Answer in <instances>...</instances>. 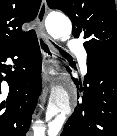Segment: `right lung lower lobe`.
I'll use <instances>...</instances> for the list:
<instances>
[{
    "instance_id": "obj_1",
    "label": "right lung lower lobe",
    "mask_w": 117,
    "mask_h": 136,
    "mask_svg": "<svg viewBox=\"0 0 117 136\" xmlns=\"http://www.w3.org/2000/svg\"><path fill=\"white\" fill-rule=\"evenodd\" d=\"M40 92L41 53L33 33L0 52V136L26 135Z\"/></svg>"
}]
</instances>
